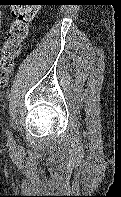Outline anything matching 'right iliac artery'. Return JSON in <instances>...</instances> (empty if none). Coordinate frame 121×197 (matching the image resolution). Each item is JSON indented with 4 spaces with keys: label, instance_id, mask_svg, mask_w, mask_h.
Listing matches in <instances>:
<instances>
[{
    "label": "right iliac artery",
    "instance_id": "82829eb1",
    "mask_svg": "<svg viewBox=\"0 0 121 197\" xmlns=\"http://www.w3.org/2000/svg\"><path fill=\"white\" fill-rule=\"evenodd\" d=\"M8 143H9V146L12 147L14 145V141H13V138L11 136V133L9 132L8 133Z\"/></svg>",
    "mask_w": 121,
    "mask_h": 197
}]
</instances>
